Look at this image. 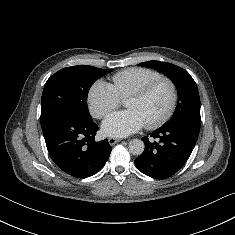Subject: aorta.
I'll use <instances>...</instances> for the list:
<instances>
[{
	"instance_id": "762f6f07",
	"label": "aorta",
	"mask_w": 235,
	"mask_h": 235,
	"mask_svg": "<svg viewBox=\"0 0 235 235\" xmlns=\"http://www.w3.org/2000/svg\"><path fill=\"white\" fill-rule=\"evenodd\" d=\"M129 152L135 156H139L144 152L145 145L144 142L140 139H132L129 142Z\"/></svg>"
}]
</instances>
